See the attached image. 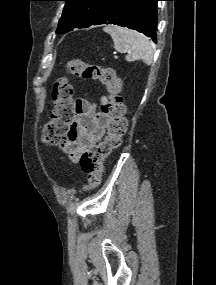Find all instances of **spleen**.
I'll list each match as a JSON object with an SVG mask.
<instances>
[{
    "label": "spleen",
    "mask_w": 216,
    "mask_h": 285,
    "mask_svg": "<svg viewBox=\"0 0 216 285\" xmlns=\"http://www.w3.org/2000/svg\"><path fill=\"white\" fill-rule=\"evenodd\" d=\"M103 30L111 35L115 50L127 53L126 60L128 62L142 60L146 65L152 63L153 48L145 35L118 26L104 27Z\"/></svg>",
    "instance_id": "spleen-1"
}]
</instances>
